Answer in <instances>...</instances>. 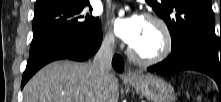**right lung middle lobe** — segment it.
Instances as JSON below:
<instances>
[{
	"label": "right lung middle lobe",
	"instance_id": "dd1d6c3e",
	"mask_svg": "<svg viewBox=\"0 0 221 102\" xmlns=\"http://www.w3.org/2000/svg\"><path fill=\"white\" fill-rule=\"evenodd\" d=\"M89 0H46L36 4L30 54L45 43L64 35L88 36L100 26Z\"/></svg>",
	"mask_w": 221,
	"mask_h": 102
}]
</instances>
